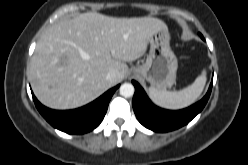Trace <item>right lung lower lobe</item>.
<instances>
[{"instance_id": "right-lung-lower-lobe-1", "label": "right lung lower lobe", "mask_w": 248, "mask_h": 165, "mask_svg": "<svg viewBox=\"0 0 248 165\" xmlns=\"http://www.w3.org/2000/svg\"><path fill=\"white\" fill-rule=\"evenodd\" d=\"M116 86L92 103L74 110L58 111L43 106L34 96L40 114L54 127L68 134H83L95 129L103 120Z\"/></svg>"}]
</instances>
